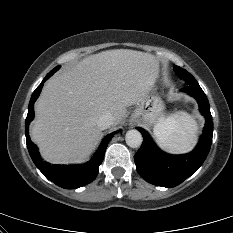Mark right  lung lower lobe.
<instances>
[{
	"label": "right lung lower lobe",
	"mask_w": 233,
	"mask_h": 233,
	"mask_svg": "<svg viewBox=\"0 0 233 233\" xmlns=\"http://www.w3.org/2000/svg\"><path fill=\"white\" fill-rule=\"evenodd\" d=\"M53 74L54 73L51 71L47 74L45 79L33 92L32 97L30 99L28 114L25 121L26 144L33 162L46 178H48L50 181L62 188L75 189L84 186L95 179L99 171V165L102 163L104 159V154L107 145L110 142L113 135L118 133L119 131H115L111 134H108L103 139L101 145L99 146V149L97 150L93 158L86 164L64 166L50 165L49 163L44 162L39 156L36 145L33 144L29 138L28 126L30 121L34 118V102L36 101L41 92L43 83Z\"/></svg>",
	"instance_id": "right-lung-lower-lobe-1"
}]
</instances>
